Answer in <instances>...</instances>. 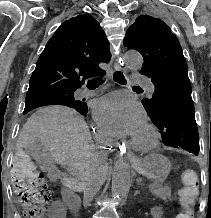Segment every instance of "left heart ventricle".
Returning <instances> with one entry per match:
<instances>
[{"label":"left heart ventricle","instance_id":"b2bd125f","mask_svg":"<svg viewBox=\"0 0 211 218\" xmlns=\"http://www.w3.org/2000/svg\"><path fill=\"white\" fill-rule=\"evenodd\" d=\"M134 138L141 143H145L148 141V134L146 133V131L143 129L141 130L138 134H136L134 136Z\"/></svg>","mask_w":211,"mask_h":218}]
</instances>
